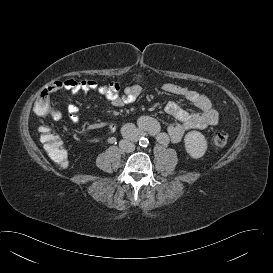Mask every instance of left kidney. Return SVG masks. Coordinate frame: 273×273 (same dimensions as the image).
<instances>
[{
    "label": "left kidney",
    "mask_w": 273,
    "mask_h": 273,
    "mask_svg": "<svg viewBox=\"0 0 273 273\" xmlns=\"http://www.w3.org/2000/svg\"><path fill=\"white\" fill-rule=\"evenodd\" d=\"M208 141L199 131H190L184 137V148L193 159L203 157L207 151Z\"/></svg>",
    "instance_id": "left-kidney-1"
}]
</instances>
